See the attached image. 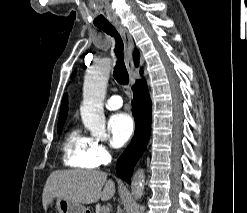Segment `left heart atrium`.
Here are the masks:
<instances>
[{
	"label": "left heart atrium",
	"mask_w": 247,
	"mask_h": 213,
	"mask_svg": "<svg viewBox=\"0 0 247 213\" xmlns=\"http://www.w3.org/2000/svg\"><path fill=\"white\" fill-rule=\"evenodd\" d=\"M108 129L112 146L119 148L131 138L134 132V121L127 113H116L109 119Z\"/></svg>",
	"instance_id": "1"
}]
</instances>
